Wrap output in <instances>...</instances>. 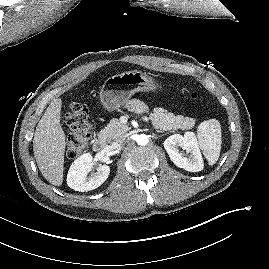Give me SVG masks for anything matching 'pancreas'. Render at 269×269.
Here are the masks:
<instances>
[{"label":"pancreas","mask_w":269,"mask_h":269,"mask_svg":"<svg viewBox=\"0 0 269 269\" xmlns=\"http://www.w3.org/2000/svg\"><path fill=\"white\" fill-rule=\"evenodd\" d=\"M150 120L154 128L159 131L188 130L192 129L195 124V119L193 118L183 117L182 115L175 116L162 108H155L150 114ZM128 130V125L121 123L119 119L113 118L107 127L100 131L99 137L110 142L122 137Z\"/></svg>","instance_id":"obj_1"}]
</instances>
